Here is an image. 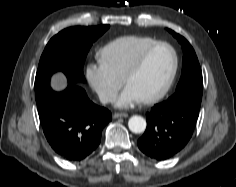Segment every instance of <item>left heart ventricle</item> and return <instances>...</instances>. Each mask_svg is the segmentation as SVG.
Masks as SVG:
<instances>
[{
  "label": "left heart ventricle",
  "mask_w": 236,
  "mask_h": 187,
  "mask_svg": "<svg viewBox=\"0 0 236 187\" xmlns=\"http://www.w3.org/2000/svg\"><path fill=\"white\" fill-rule=\"evenodd\" d=\"M173 65V55L166 47L155 49L146 59L140 71L129 79L131 87L140 97L147 98L165 85Z\"/></svg>",
  "instance_id": "b2bd125f"
}]
</instances>
